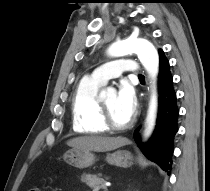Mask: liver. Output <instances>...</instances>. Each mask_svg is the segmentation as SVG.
<instances>
[{
  "mask_svg": "<svg viewBox=\"0 0 210 191\" xmlns=\"http://www.w3.org/2000/svg\"><path fill=\"white\" fill-rule=\"evenodd\" d=\"M129 143L130 141L124 137L106 136H81L67 141V145L74 149L96 152L111 151Z\"/></svg>",
  "mask_w": 210,
  "mask_h": 191,
  "instance_id": "obj_1",
  "label": "liver"
}]
</instances>
